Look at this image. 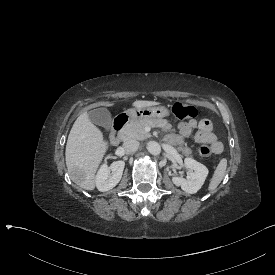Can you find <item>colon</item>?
<instances>
[{
    "instance_id": "5ec220e1",
    "label": "colon",
    "mask_w": 275,
    "mask_h": 275,
    "mask_svg": "<svg viewBox=\"0 0 275 275\" xmlns=\"http://www.w3.org/2000/svg\"><path fill=\"white\" fill-rule=\"evenodd\" d=\"M172 112L179 119L195 118L197 115V110L193 105L183 102H176L172 107ZM211 153V148L208 145L198 147V154L203 158H209Z\"/></svg>"
}]
</instances>
